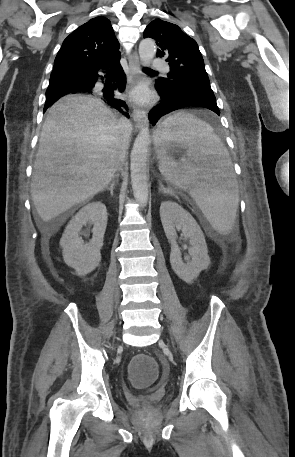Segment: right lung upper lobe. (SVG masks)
I'll use <instances>...</instances> for the list:
<instances>
[{
  "label": "right lung upper lobe",
  "mask_w": 295,
  "mask_h": 457,
  "mask_svg": "<svg viewBox=\"0 0 295 457\" xmlns=\"http://www.w3.org/2000/svg\"><path fill=\"white\" fill-rule=\"evenodd\" d=\"M118 54L119 43L110 20L96 17L64 40L51 74L82 72Z\"/></svg>",
  "instance_id": "1"
}]
</instances>
